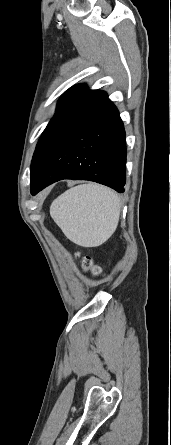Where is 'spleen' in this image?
Returning a JSON list of instances; mask_svg holds the SVG:
<instances>
[{
	"instance_id": "obj_1",
	"label": "spleen",
	"mask_w": 171,
	"mask_h": 445,
	"mask_svg": "<svg viewBox=\"0 0 171 445\" xmlns=\"http://www.w3.org/2000/svg\"><path fill=\"white\" fill-rule=\"evenodd\" d=\"M50 215L65 236L77 245L96 247L115 232L120 198L110 188L94 183L70 188L50 206Z\"/></svg>"
}]
</instances>
